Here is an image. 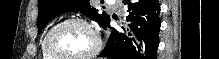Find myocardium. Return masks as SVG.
Returning <instances> with one entry per match:
<instances>
[{
    "instance_id": "1",
    "label": "myocardium",
    "mask_w": 219,
    "mask_h": 59,
    "mask_svg": "<svg viewBox=\"0 0 219 59\" xmlns=\"http://www.w3.org/2000/svg\"><path fill=\"white\" fill-rule=\"evenodd\" d=\"M68 24H79L84 26L93 36L94 38V46L93 48L79 56H64L56 51L53 45V38L55 33L61 29L62 27L68 25ZM45 45H46V50L52 56L54 59H92L98 55V53L101 50V39L98 35V33L94 30V28L84 19L79 18V17H71V18H66L62 21H59L55 25H53L47 32L46 39H45Z\"/></svg>"
}]
</instances>
